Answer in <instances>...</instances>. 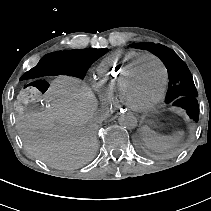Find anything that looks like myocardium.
<instances>
[{
  "instance_id": "myocardium-1",
  "label": "myocardium",
  "mask_w": 211,
  "mask_h": 211,
  "mask_svg": "<svg viewBox=\"0 0 211 211\" xmlns=\"http://www.w3.org/2000/svg\"><path fill=\"white\" fill-rule=\"evenodd\" d=\"M148 59L156 61L161 68L162 75H163L162 88H161V91H160L158 97L156 99H154L150 104L139 105V104L134 103L131 100V98L129 96L130 87H131L132 79L135 76L138 67L141 65V63L143 61L148 60ZM167 76H168L167 69H166L164 63L162 62V60L160 58H158L157 56L152 55V54L145 55L144 57H142L140 62L130 72H128L127 75L125 76V79H124L122 87H121V93H120L121 102L128 109H130L134 112H137V113L148 114V113L154 111L164 98L166 84H167Z\"/></svg>"
}]
</instances>
